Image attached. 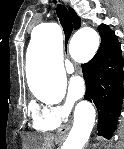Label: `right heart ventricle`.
Wrapping results in <instances>:
<instances>
[{
	"mask_svg": "<svg viewBox=\"0 0 124 149\" xmlns=\"http://www.w3.org/2000/svg\"><path fill=\"white\" fill-rule=\"evenodd\" d=\"M40 131H49L48 129H38Z\"/></svg>",
	"mask_w": 124,
	"mask_h": 149,
	"instance_id": "right-heart-ventricle-1",
	"label": "right heart ventricle"
}]
</instances>
